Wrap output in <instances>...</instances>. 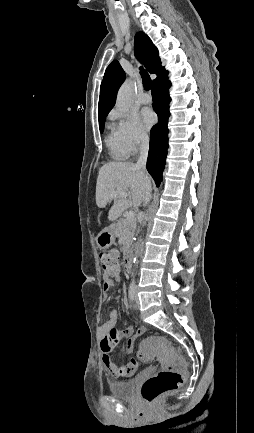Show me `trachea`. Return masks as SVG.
Masks as SVG:
<instances>
[{"label":"trachea","instance_id":"obj_1","mask_svg":"<svg viewBox=\"0 0 254 433\" xmlns=\"http://www.w3.org/2000/svg\"><path fill=\"white\" fill-rule=\"evenodd\" d=\"M140 74H141L144 88L146 90H150L152 81L149 74L142 67H140Z\"/></svg>","mask_w":254,"mask_h":433}]
</instances>
